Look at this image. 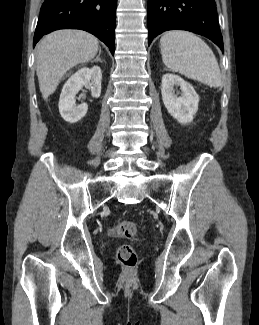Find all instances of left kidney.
<instances>
[{"label":"left kidney","mask_w":259,"mask_h":325,"mask_svg":"<svg viewBox=\"0 0 259 325\" xmlns=\"http://www.w3.org/2000/svg\"><path fill=\"white\" fill-rule=\"evenodd\" d=\"M175 86H180L181 96L175 94ZM161 94L168 113L179 123L187 124L193 120L198 111L199 97L189 83L177 75L165 74Z\"/></svg>","instance_id":"1"}]
</instances>
